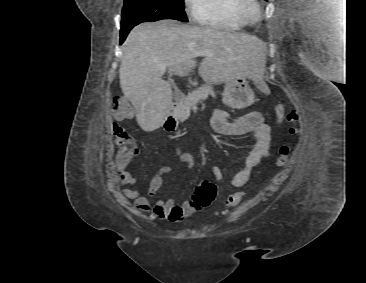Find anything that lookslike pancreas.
Here are the masks:
<instances>
[{
    "label": "pancreas",
    "mask_w": 366,
    "mask_h": 283,
    "mask_svg": "<svg viewBox=\"0 0 366 283\" xmlns=\"http://www.w3.org/2000/svg\"><path fill=\"white\" fill-rule=\"evenodd\" d=\"M208 95L215 97L213 88L210 85H203L198 89L188 93L187 96L177 104L176 116L180 121H185L190 116V110L198 101L205 100Z\"/></svg>",
    "instance_id": "cf45deb5"
}]
</instances>
